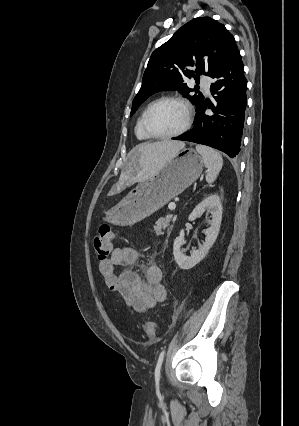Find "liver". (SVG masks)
Returning <instances> with one entry per match:
<instances>
[{
  "label": "liver",
  "instance_id": "6515ba94",
  "mask_svg": "<svg viewBox=\"0 0 299 426\" xmlns=\"http://www.w3.org/2000/svg\"><path fill=\"white\" fill-rule=\"evenodd\" d=\"M185 147L181 141L163 140L143 143L131 152V161L137 171V180L154 177L158 171Z\"/></svg>",
  "mask_w": 299,
  "mask_h": 426
}]
</instances>
